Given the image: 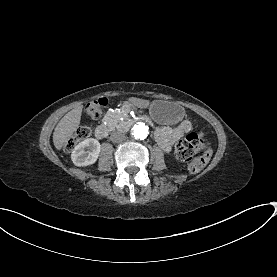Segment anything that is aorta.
Returning <instances> with one entry per match:
<instances>
[{
    "instance_id": "obj_1",
    "label": "aorta",
    "mask_w": 277,
    "mask_h": 277,
    "mask_svg": "<svg viewBox=\"0 0 277 277\" xmlns=\"http://www.w3.org/2000/svg\"><path fill=\"white\" fill-rule=\"evenodd\" d=\"M132 136L137 140H142L147 137L149 133L148 126L143 122L135 123L131 129Z\"/></svg>"
}]
</instances>
